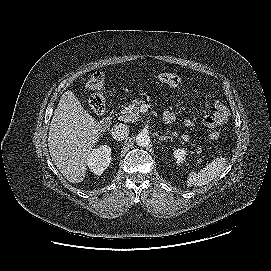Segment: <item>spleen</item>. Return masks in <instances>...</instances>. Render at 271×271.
<instances>
[{
    "label": "spleen",
    "instance_id": "obj_1",
    "mask_svg": "<svg viewBox=\"0 0 271 271\" xmlns=\"http://www.w3.org/2000/svg\"><path fill=\"white\" fill-rule=\"evenodd\" d=\"M226 165V158L221 156L215 158L199 172L191 171L187 177V186L201 187L208 184L224 171Z\"/></svg>",
    "mask_w": 271,
    "mask_h": 271
}]
</instances>
